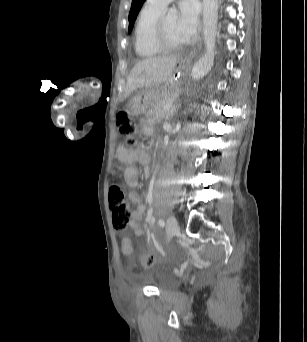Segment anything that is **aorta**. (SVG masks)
Listing matches in <instances>:
<instances>
[{"instance_id": "762f6f07", "label": "aorta", "mask_w": 307, "mask_h": 342, "mask_svg": "<svg viewBox=\"0 0 307 342\" xmlns=\"http://www.w3.org/2000/svg\"><path fill=\"white\" fill-rule=\"evenodd\" d=\"M218 8V0H203V40L205 42L206 52L192 68L191 76L193 80H198V78L204 76L214 64ZM177 18V10L170 8L165 20H167V22H176Z\"/></svg>"}]
</instances>
